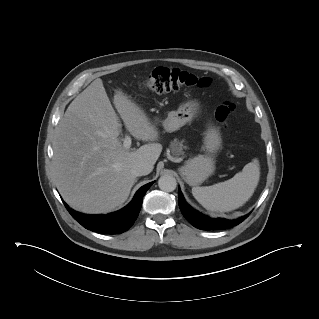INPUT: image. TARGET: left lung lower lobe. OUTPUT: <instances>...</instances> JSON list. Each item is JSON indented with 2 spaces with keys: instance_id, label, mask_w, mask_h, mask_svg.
Instances as JSON below:
<instances>
[{
  "instance_id": "left-lung-lower-lobe-1",
  "label": "left lung lower lobe",
  "mask_w": 319,
  "mask_h": 319,
  "mask_svg": "<svg viewBox=\"0 0 319 319\" xmlns=\"http://www.w3.org/2000/svg\"><path fill=\"white\" fill-rule=\"evenodd\" d=\"M179 194V207L184 215V217L196 228L201 230H221L231 228L240 224L244 221L249 214L244 215L238 219L229 220L225 218H210L206 215L199 213L198 211L194 210L191 206H189L180 191L178 190Z\"/></svg>"
}]
</instances>
